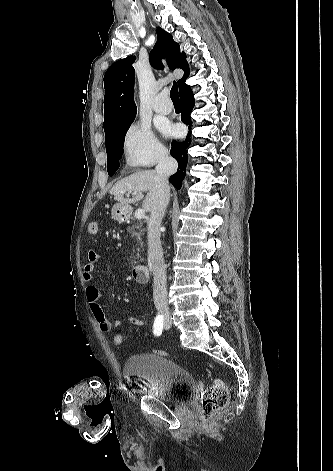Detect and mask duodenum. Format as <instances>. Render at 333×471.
Wrapping results in <instances>:
<instances>
[{
  "mask_svg": "<svg viewBox=\"0 0 333 471\" xmlns=\"http://www.w3.org/2000/svg\"><path fill=\"white\" fill-rule=\"evenodd\" d=\"M132 276L138 283H146L149 279V268L147 265L139 264L133 267Z\"/></svg>",
  "mask_w": 333,
  "mask_h": 471,
  "instance_id": "410a0bca",
  "label": "duodenum"
}]
</instances>
